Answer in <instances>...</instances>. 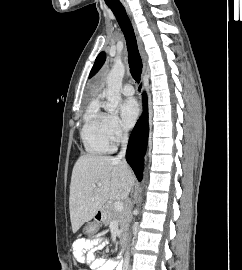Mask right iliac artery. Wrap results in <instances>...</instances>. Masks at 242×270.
I'll use <instances>...</instances> for the list:
<instances>
[{"label":"right iliac artery","mask_w":242,"mask_h":270,"mask_svg":"<svg viewBox=\"0 0 242 270\" xmlns=\"http://www.w3.org/2000/svg\"><path fill=\"white\" fill-rule=\"evenodd\" d=\"M120 268H122V266H120ZM120 270H122V269H120ZM123 270H127V268H124Z\"/></svg>","instance_id":"obj_1"}]
</instances>
